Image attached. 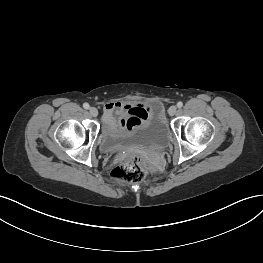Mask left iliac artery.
<instances>
[{
	"label": "left iliac artery",
	"mask_w": 263,
	"mask_h": 263,
	"mask_svg": "<svg viewBox=\"0 0 263 263\" xmlns=\"http://www.w3.org/2000/svg\"><path fill=\"white\" fill-rule=\"evenodd\" d=\"M182 106H183V103L181 101L177 103L178 108H181Z\"/></svg>",
	"instance_id": "left-iliac-artery-1"
}]
</instances>
